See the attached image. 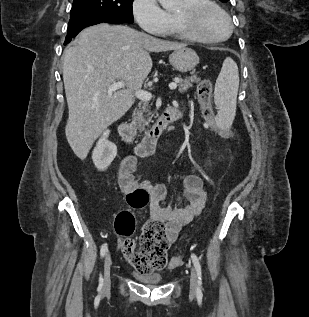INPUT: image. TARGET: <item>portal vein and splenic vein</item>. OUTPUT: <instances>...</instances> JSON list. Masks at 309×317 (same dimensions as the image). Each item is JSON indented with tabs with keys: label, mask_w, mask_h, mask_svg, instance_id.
<instances>
[{
	"label": "portal vein and splenic vein",
	"mask_w": 309,
	"mask_h": 317,
	"mask_svg": "<svg viewBox=\"0 0 309 317\" xmlns=\"http://www.w3.org/2000/svg\"><path fill=\"white\" fill-rule=\"evenodd\" d=\"M125 87V83L123 81H118V82H114L110 87H109V91H115L117 89L123 88ZM177 88V83L176 82H171L169 84V89L171 90H175ZM136 97L142 101H149L152 98V94L148 91L145 90H138L135 93Z\"/></svg>",
	"instance_id": "obj_1"
}]
</instances>
